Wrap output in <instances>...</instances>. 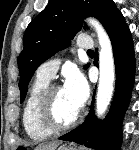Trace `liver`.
<instances>
[{
	"mask_svg": "<svg viewBox=\"0 0 139 150\" xmlns=\"http://www.w3.org/2000/svg\"><path fill=\"white\" fill-rule=\"evenodd\" d=\"M58 142H49L38 145L35 150H56L58 147Z\"/></svg>",
	"mask_w": 139,
	"mask_h": 150,
	"instance_id": "obj_1",
	"label": "liver"
}]
</instances>
